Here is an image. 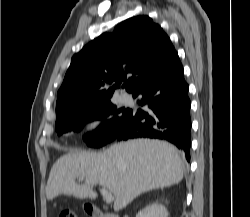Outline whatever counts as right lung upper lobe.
<instances>
[{
	"label": "right lung upper lobe",
	"mask_w": 250,
	"mask_h": 217,
	"mask_svg": "<svg viewBox=\"0 0 250 217\" xmlns=\"http://www.w3.org/2000/svg\"><path fill=\"white\" fill-rule=\"evenodd\" d=\"M169 37L148 16L129 18L76 53L57 93L56 121L110 101L114 90L129 93L150 82L177 56ZM127 75H131L126 79ZM115 83L113 86H110Z\"/></svg>",
	"instance_id": "1"
}]
</instances>
